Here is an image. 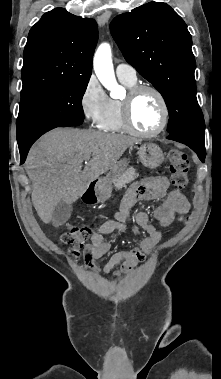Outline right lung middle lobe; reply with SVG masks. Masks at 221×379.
Masks as SVG:
<instances>
[{
  "label": "right lung middle lobe",
  "mask_w": 221,
  "mask_h": 379,
  "mask_svg": "<svg viewBox=\"0 0 221 379\" xmlns=\"http://www.w3.org/2000/svg\"><path fill=\"white\" fill-rule=\"evenodd\" d=\"M88 82L89 78L62 81L21 91L18 143L36 140L56 127L82 124V97Z\"/></svg>",
  "instance_id": "1"
}]
</instances>
